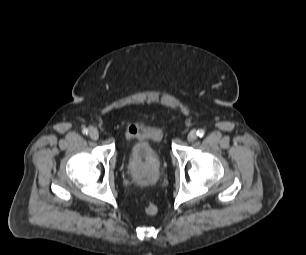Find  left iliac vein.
<instances>
[{"instance_id": "1", "label": "left iliac vein", "mask_w": 306, "mask_h": 255, "mask_svg": "<svg viewBox=\"0 0 306 255\" xmlns=\"http://www.w3.org/2000/svg\"><path fill=\"white\" fill-rule=\"evenodd\" d=\"M197 139V134L194 130H192L191 132H189L188 136H187V140L189 142H193Z\"/></svg>"}]
</instances>
